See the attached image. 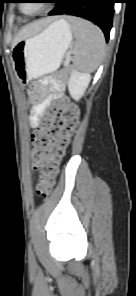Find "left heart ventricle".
Returning a JSON list of instances; mask_svg holds the SVG:
<instances>
[{"label":"left heart ventricle","mask_w":136,"mask_h":296,"mask_svg":"<svg viewBox=\"0 0 136 296\" xmlns=\"http://www.w3.org/2000/svg\"><path fill=\"white\" fill-rule=\"evenodd\" d=\"M41 6V3H24L23 4V8H24V11L25 12H28V13H32V12H35L39 9V7Z\"/></svg>","instance_id":"left-heart-ventricle-1"}]
</instances>
